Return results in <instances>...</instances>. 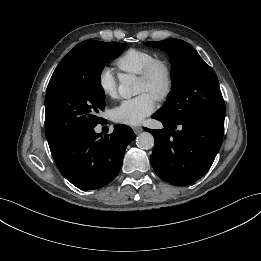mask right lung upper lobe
I'll list each match as a JSON object with an SVG mask.
<instances>
[{"mask_svg":"<svg viewBox=\"0 0 261 261\" xmlns=\"http://www.w3.org/2000/svg\"><path fill=\"white\" fill-rule=\"evenodd\" d=\"M72 55H73V50H71L63 59L62 61L59 63L58 67L56 68V70L54 71L50 82L48 85L52 84L57 78L58 76L65 72L66 70H68V68L71 65L72 62Z\"/></svg>","mask_w":261,"mask_h":261,"instance_id":"1","label":"right lung upper lobe"}]
</instances>
